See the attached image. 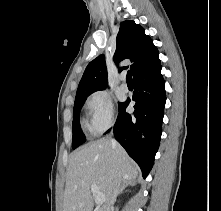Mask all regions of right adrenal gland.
I'll use <instances>...</instances> for the list:
<instances>
[{
  "label": "right adrenal gland",
  "instance_id": "1",
  "mask_svg": "<svg viewBox=\"0 0 221 211\" xmlns=\"http://www.w3.org/2000/svg\"><path fill=\"white\" fill-rule=\"evenodd\" d=\"M134 184H135L134 180H129V181L125 182V184L120 186L117 195L122 194L127 186H131V185H134Z\"/></svg>",
  "mask_w": 221,
  "mask_h": 211
}]
</instances>
